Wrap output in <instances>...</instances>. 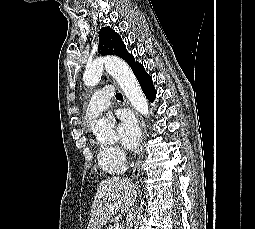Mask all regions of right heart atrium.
Wrapping results in <instances>:
<instances>
[{
  "instance_id": "1",
  "label": "right heart atrium",
  "mask_w": 255,
  "mask_h": 229,
  "mask_svg": "<svg viewBox=\"0 0 255 229\" xmlns=\"http://www.w3.org/2000/svg\"><path fill=\"white\" fill-rule=\"evenodd\" d=\"M111 150H112L113 156L116 159L125 160V153H124V151L121 148H119L117 146H112Z\"/></svg>"
}]
</instances>
